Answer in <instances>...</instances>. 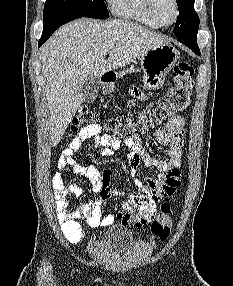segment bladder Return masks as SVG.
<instances>
[{"label": "bladder", "mask_w": 233, "mask_h": 286, "mask_svg": "<svg viewBox=\"0 0 233 286\" xmlns=\"http://www.w3.org/2000/svg\"><path fill=\"white\" fill-rule=\"evenodd\" d=\"M134 244L133 233L124 226L112 227L103 238L108 253H126Z\"/></svg>", "instance_id": "obj_1"}]
</instances>
